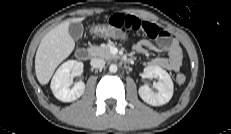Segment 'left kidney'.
<instances>
[{"label": "left kidney", "instance_id": "left-kidney-1", "mask_svg": "<svg viewBox=\"0 0 231 134\" xmlns=\"http://www.w3.org/2000/svg\"><path fill=\"white\" fill-rule=\"evenodd\" d=\"M144 74L147 78H158V82L154 84L157 91H153L148 85L139 88L141 99L152 105L161 106L169 102L173 96V81L170 75L159 66H147L144 68Z\"/></svg>", "mask_w": 231, "mask_h": 134}]
</instances>
